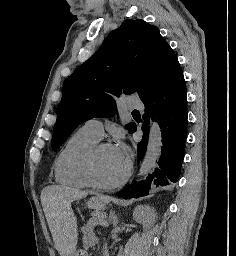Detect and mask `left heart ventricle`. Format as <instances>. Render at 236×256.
Returning <instances> with one entry per match:
<instances>
[{"instance_id": "1", "label": "left heart ventricle", "mask_w": 236, "mask_h": 256, "mask_svg": "<svg viewBox=\"0 0 236 256\" xmlns=\"http://www.w3.org/2000/svg\"><path fill=\"white\" fill-rule=\"evenodd\" d=\"M127 161L121 160L109 146L97 156L96 168L101 181L111 183L119 179L126 168Z\"/></svg>"}]
</instances>
